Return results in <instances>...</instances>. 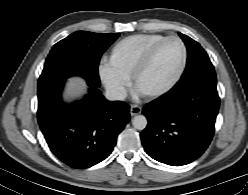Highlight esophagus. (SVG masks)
Here are the masks:
<instances>
[{"label":"esophagus","mask_w":248,"mask_h":195,"mask_svg":"<svg viewBox=\"0 0 248 195\" xmlns=\"http://www.w3.org/2000/svg\"><path fill=\"white\" fill-rule=\"evenodd\" d=\"M141 111H142V108L138 105H131V107H130V114L132 116L140 114Z\"/></svg>","instance_id":"esophagus-1"}]
</instances>
